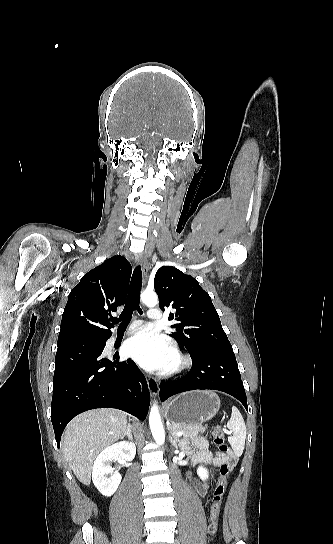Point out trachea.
Listing matches in <instances>:
<instances>
[{
	"mask_svg": "<svg viewBox=\"0 0 333 544\" xmlns=\"http://www.w3.org/2000/svg\"><path fill=\"white\" fill-rule=\"evenodd\" d=\"M142 287V271L141 267L137 266L134 271L131 278L129 293L127 297V301L125 303V307L123 309V312L119 316V318H112V323L117 324L119 322V330L126 329L129 322L131 321L133 311L137 310L139 314H142V310L140 308V302H139V295Z\"/></svg>",
	"mask_w": 333,
	"mask_h": 544,
	"instance_id": "3493384b",
	"label": "trachea"
}]
</instances>
